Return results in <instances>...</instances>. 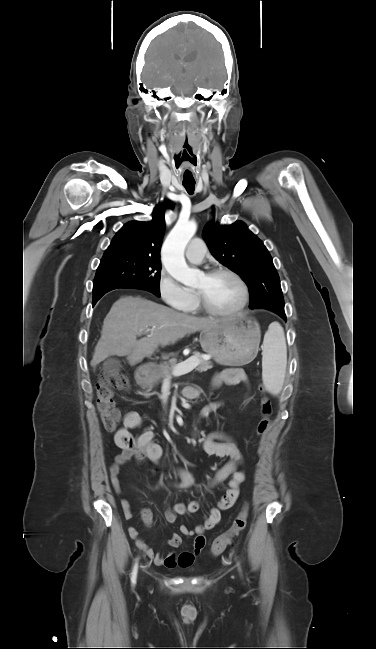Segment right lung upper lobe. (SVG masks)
I'll use <instances>...</instances> for the list:
<instances>
[{
  "instance_id": "1",
  "label": "right lung upper lobe",
  "mask_w": 376,
  "mask_h": 649,
  "mask_svg": "<svg viewBox=\"0 0 376 649\" xmlns=\"http://www.w3.org/2000/svg\"><path fill=\"white\" fill-rule=\"evenodd\" d=\"M158 205L153 210V220L150 222L130 221L114 236L104 255L117 253H133L160 257V249L165 229L164 210L172 208L169 201Z\"/></svg>"
}]
</instances>
